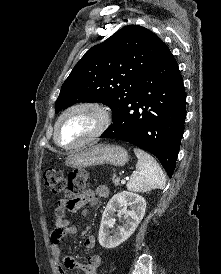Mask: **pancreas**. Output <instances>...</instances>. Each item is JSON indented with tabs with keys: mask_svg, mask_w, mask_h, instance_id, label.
I'll return each mask as SVG.
<instances>
[{
	"mask_svg": "<svg viewBox=\"0 0 221 274\" xmlns=\"http://www.w3.org/2000/svg\"><path fill=\"white\" fill-rule=\"evenodd\" d=\"M112 180H113V183H114L116 186L120 185V184H119V181H120V180H119L118 177H116V174H113Z\"/></svg>",
	"mask_w": 221,
	"mask_h": 274,
	"instance_id": "pancreas-1",
	"label": "pancreas"
}]
</instances>
